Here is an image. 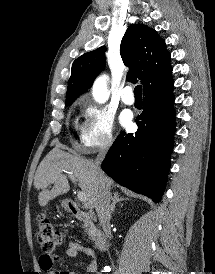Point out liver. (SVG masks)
Masks as SVG:
<instances>
[{"mask_svg": "<svg viewBox=\"0 0 215 274\" xmlns=\"http://www.w3.org/2000/svg\"><path fill=\"white\" fill-rule=\"evenodd\" d=\"M62 170L71 173L79 182V187L87 196V207L96 206L99 193L98 176L94 163L82 156L62 151L59 147L52 149L39 164L35 177L34 187L41 190L38 195L40 206H46L50 200L70 190L67 177ZM106 184L110 188L113 181L104 175ZM54 184L51 190L47 187Z\"/></svg>", "mask_w": 215, "mask_h": 274, "instance_id": "6515ba94", "label": "liver"}]
</instances>
